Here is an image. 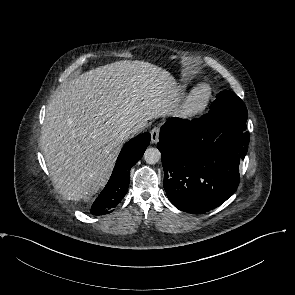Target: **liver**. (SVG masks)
<instances>
[{
  "mask_svg": "<svg viewBox=\"0 0 295 295\" xmlns=\"http://www.w3.org/2000/svg\"><path fill=\"white\" fill-rule=\"evenodd\" d=\"M168 71L121 60L81 74L49 102L41 149L55 186L68 200L95 195L104 185L127 127H146L177 104Z\"/></svg>",
  "mask_w": 295,
  "mask_h": 295,
  "instance_id": "obj_1",
  "label": "liver"
}]
</instances>
